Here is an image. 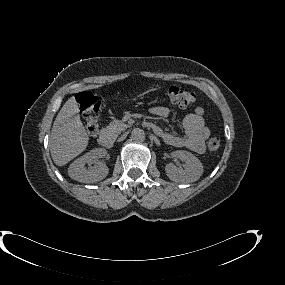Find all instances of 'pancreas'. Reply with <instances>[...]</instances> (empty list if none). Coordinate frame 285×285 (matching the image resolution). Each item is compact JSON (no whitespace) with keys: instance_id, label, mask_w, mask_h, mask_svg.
<instances>
[{"instance_id":"1","label":"pancreas","mask_w":285,"mask_h":285,"mask_svg":"<svg viewBox=\"0 0 285 285\" xmlns=\"http://www.w3.org/2000/svg\"><path fill=\"white\" fill-rule=\"evenodd\" d=\"M126 127L127 125H125L123 121L115 120L106 127L105 131L117 135Z\"/></svg>"}]
</instances>
